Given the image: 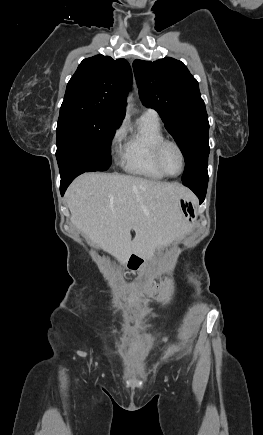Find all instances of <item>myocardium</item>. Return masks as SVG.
<instances>
[{"instance_id":"obj_1","label":"myocardium","mask_w":263,"mask_h":435,"mask_svg":"<svg viewBox=\"0 0 263 435\" xmlns=\"http://www.w3.org/2000/svg\"><path fill=\"white\" fill-rule=\"evenodd\" d=\"M167 145L174 146L178 150L180 157H181V162H182L181 170L179 173L174 174V175L168 173L162 164V159H161L162 152H163V149ZM154 162H155V165L158 168V170L166 177H178L184 172V170L186 168V157H185L184 150L177 141L172 140V139L164 138L157 143V145L155 146V149H154Z\"/></svg>"}]
</instances>
